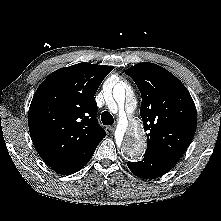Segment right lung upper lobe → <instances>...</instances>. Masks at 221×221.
Listing matches in <instances>:
<instances>
[{
	"label": "right lung upper lobe",
	"instance_id": "1",
	"mask_svg": "<svg viewBox=\"0 0 221 221\" xmlns=\"http://www.w3.org/2000/svg\"><path fill=\"white\" fill-rule=\"evenodd\" d=\"M111 66L79 63L50 74L38 87L28 113L32 141L51 167L101 141L94 95Z\"/></svg>",
	"mask_w": 221,
	"mask_h": 221
}]
</instances>
